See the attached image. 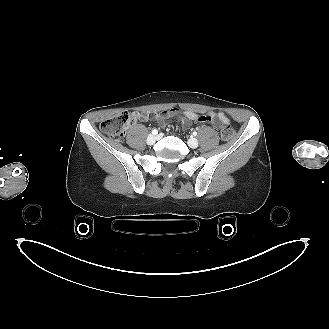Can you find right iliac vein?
<instances>
[{"label": "right iliac vein", "mask_w": 329, "mask_h": 329, "mask_svg": "<svg viewBox=\"0 0 329 329\" xmlns=\"http://www.w3.org/2000/svg\"><path fill=\"white\" fill-rule=\"evenodd\" d=\"M157 139H158L157 136L149 135L147 137L146 142H147L148 145H153L156 142Z\"/></svg>", "instance_id": "1"}]
</instances>
